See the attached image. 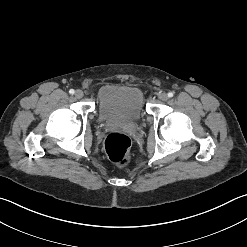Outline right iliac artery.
I'll use <instances>...</instances> for the list:
<instances>
[{"mask_svg":"<svg viewBox=\"0 0 247 247\" xmlns=\"http://www.w3.org/2000/svg\"><path fill=\"white\" fill-rule=\"evenodd\" d=\"M69 93L73 95L75 93V91L73 89H70Z\"/></svg>","mask_w":247,"mask_h":247,"instance_id":"1","label":"right iliac artery"}]
</instances>
